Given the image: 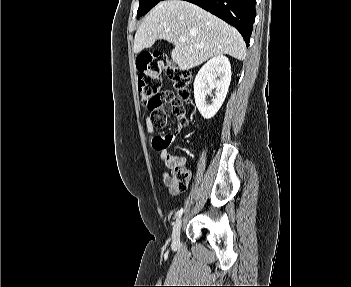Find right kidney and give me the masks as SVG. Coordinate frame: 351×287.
<instances>
[{
    "mask_svg": "<svg viewBox=\"0 0 351 287\" xmlns=\"http://www.w3.org/2000/svg\"><path fill=\"white\" fill-rule=\"evenodd\" d=\"M218 78V79H217ZM231 81V65L223 55L212 57L197 73L194 81V98L200 114L211 119L222 106ZM216 89L211 104H207L206 96Z\"/></svg>",
    "mask_w": 351,
    "mask_h": 287,
    "instance_id": "obj_1",
    "label": "right kidney"
}]
</instances>
